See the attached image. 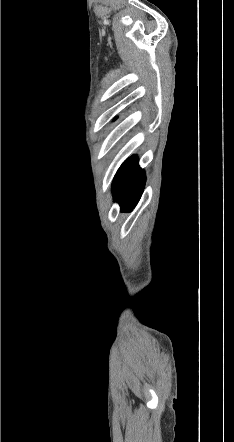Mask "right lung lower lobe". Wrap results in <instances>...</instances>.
Returning a JSON list of instances; mask_svg holds the SVG:
<instances>
[{"mask_svg":"<svg viewBox=\"0 0 234 442\" xmlns=\"http://www.w3.org/2000/svg\"><path fill=\"white\" fill-rule=\"evenodd\" d=\"M146 177L138 166V158H128L118 169L113 180V197L118 201L122 212L131 211L144 190Z\"/></svg>","mask_w":234,"mask_h":442,"instance_id":"1","label":"right lung lower lobe"}]
</instances>
